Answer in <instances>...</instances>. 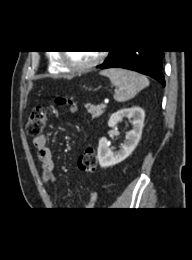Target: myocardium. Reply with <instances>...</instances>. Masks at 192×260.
<instances>
[{"label":"myocardium","instance_id":"f54148a6","mask_svg":"<svg viewBox=\"0 0 192 260\" xmlns=\"http://www.w3.org/2000/svg\"><path fill=\"white\" fill-rule=\"evenodd\" d=\"M103 54H99L93 61H91L88 64L85 65H74L72 64L67 57V53L66 52H61L60 53V61L62 63V65L67 68L70 71L73 72H86L89 71L91 69H93L94 67H96L97 65H99L102 60H103Z\"/></svg>","mask_w":192,"mask_h":260}]
</instances>
